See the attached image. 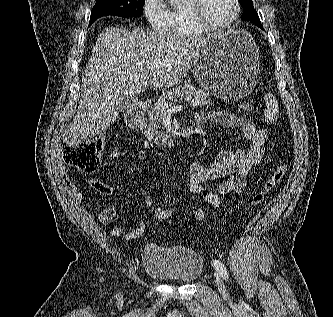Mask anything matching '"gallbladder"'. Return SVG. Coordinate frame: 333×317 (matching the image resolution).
Returning <instances> with one entry per match:
<instances>
[{
    "mask_svg": "<svg viewBox=\"0 0 333 317\" xmlns=\"http://www.w3.org/2000/svg\"><path fill=\"white\" fill-rule=\"evenodd\" d=\"M138 98L136 96H119L117 98V105L121 111H127L137 105Z\"/></svg>",
    "mask_w": 333,
    "mask_h": 317,
    "instance_id": "bac80fb5",
    "label": "gallbladder"
}]
</instances>
